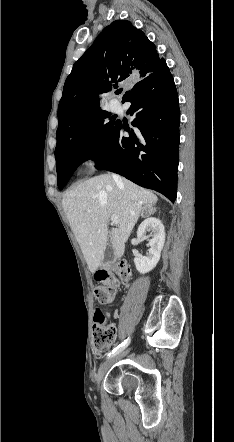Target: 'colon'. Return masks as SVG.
Here are the masks:
<instances>
[{"instance_id": "5ec220e1", "label": "colon", "mask_w": 234, "mask_h": 442, "mask_svg": "<svg viewBox=\"0 0 234 442\" xmlns=\"http://www.w3.org/2000/svg\"><path fill=\"white\" fill-rule=\"evenodd\" d=\"M96 279L102 284L95 288V298L100 304L112 303L118 293L119 284L128 285L131 280V269L126 262L120 261L115 265L113 272L99 270ZM103 325L99 326L98 322ZM115 337V328L108 324V318L102 311L95 316L93 332V351L96 359H101L110 347Z\"/></svg>"}]
</instances>
